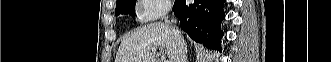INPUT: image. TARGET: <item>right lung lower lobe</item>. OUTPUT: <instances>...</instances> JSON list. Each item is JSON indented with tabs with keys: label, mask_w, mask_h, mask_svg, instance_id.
<instances>
[{
	"label": "right lung lower lobe",
	"mask_w": 331,
	"mask_h": 62,
	"mask_svg": "<svg viewBox=\"0 0 331 62\" xmlns=\"http://www.w3.org/2000/svg\"><path fill=\"white\" fill-rule=\"evenodd\" d=\"M226 0H175L173 10L180 20V27L193 40L206 46L220 49L223 35L221 22L225 17L223 6Z\"/></svg>",
	"instance_id": "98d812e1"
}]
</instances>
